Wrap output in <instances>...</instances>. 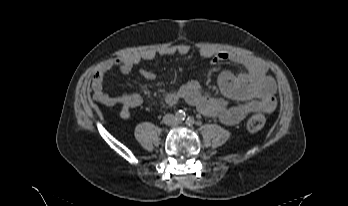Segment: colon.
I'll return each instance as SVG.
<instances>
[{
    "mask_svg": "<svg viewBox=\"0 0 348 206\" xmlns=\"http://www.w3.org/2000/svg\"><path fill=\"white\" fill-rule=\"evenodd\" d=\"M266 123V118L262 114L251 115L246 122L247 129L249 131H258L264 127Z\"/></svg>",
    "mask_w": 348,
    "mask_h": 206,
    "instance_id": "5ec220e1",
    "label": "colon"
}]
</instances>
